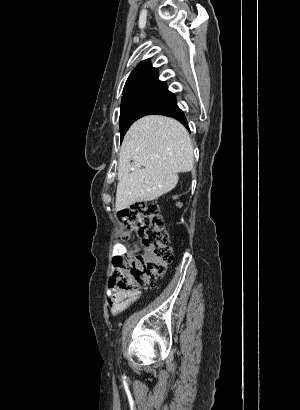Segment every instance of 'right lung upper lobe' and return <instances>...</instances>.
I'll list each match as a JSON object with an SVG mask.
<instances>
[{
  "instance_id": "obj_1",
  "label": "right lung upper lobe",
  "mask_w": 300,
  "mask_h": 410,
  "mask_svg": "<svg viewBox=\"0 0 300 410\" xmlns=\"http://www.w3.org/2000/svg\"><path fill=\"white\" fill-rule=\"evenodd\" d=\"M163 83L158 80V70L153 68L149 60L140 62L128 77L124 88L139 84Z\"/></svg>"
}]
</instances>
